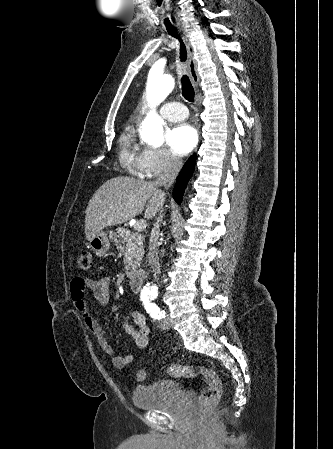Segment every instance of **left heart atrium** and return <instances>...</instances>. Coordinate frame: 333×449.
I'll return each instance as SVG.
<instances>
[{
  "mask_svg": "<svg viewBox=\"0 0 333 449\" xmlns=\"http://www.w3.org/2000/svg\"><path fill=\"white\" fill-rule=\"evenodd\" d=\"M197 140V131L187 123L179 124L167 133L170 149L179 156L188 154L195 147Z\"/></svg>",
  "mask_w": 333,
  "mask_h": 449,
  "instance_id": "obj_1",
  "label": "left heart atrium"
}]
</instances>
